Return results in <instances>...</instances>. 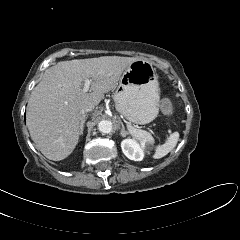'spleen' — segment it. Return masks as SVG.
<instances>
[{
    "instance_id": "3e777b00",
    "label": "spleen",
    "mask_w": 240,
    "mask_h": 240,
    "mask_svg": "<svg viewBox=\"0 0 240 240\" xmlns=\"http://www.w3.org/2000/svg\"><path fill=\"white\" fill-rule=\"evenodd\" d=\"M129 133L135 139L141 142H144V143L147 142L149 144H152L154 142L152 136L144 130L136 129L130 126ZM178 139H179V133L178 132L172 133L163 145H159L156 147L153 157L155 159H159L166 156L176 146Z\"/></svg>"
}]
</instances>
